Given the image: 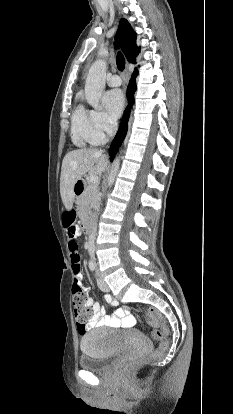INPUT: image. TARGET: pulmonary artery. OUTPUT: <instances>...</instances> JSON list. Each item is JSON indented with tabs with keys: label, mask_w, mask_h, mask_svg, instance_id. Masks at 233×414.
Segmentation results:
<instances>
[{
	"label": "pulmonary artery",
	"mask_w": 233,
	"mask_h": 414,
	"mask_svg": "<svg viewBox=\"0 0 233 414\" xmlns=\"http://www.w3.org/2000/svg\"><path fill=\"white\" fill-rule=\"evenodd\" d=\"M121 83H122V80H121L120 76H118L116 74L110 76L107 80V84L111 87L120 86Z\"/></svg>",
	"instance_id": "pulmonary-artery-1"
}]
</instances>
